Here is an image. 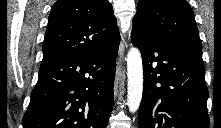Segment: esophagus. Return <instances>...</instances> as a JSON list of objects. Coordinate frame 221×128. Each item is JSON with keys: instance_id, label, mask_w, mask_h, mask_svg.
I'll use <instances>...</instances> for the list:
<instances>
[{"instance_id": "1", "label": "esophagus", "mask_w": 221, "mask_h": 128, "mask_svg": "<svg viewBox=\"0 0 221 128\" xmlns=\"http://www.w3.org/2000/svg\"><path fill=\"white\" fill-rule=\"evenodd\" d=\"M119 83H120V70H119V68H117L115 83H114V93H115V95H117Z\"/></svg>"}]
</instances>
